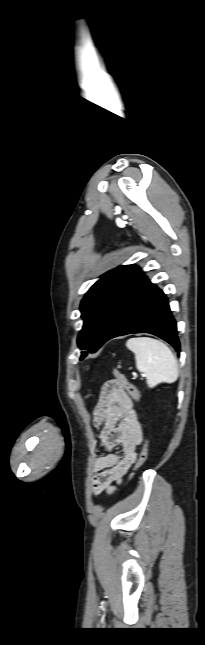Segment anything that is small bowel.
Segmentation results:
<instances>
[{"label":"small bowel","mask_w":205,"mask_h":645,"mask_svg":"<svg viewBox=\"0 0 205 645\" xmlns=\"http://www.w3.org/2000/svg\"><path fill=\"white\" fill-rule=\"evenodd\" d=\"M93 421L102 430L98 437L90 439L92 468L96 473L92 488L95 495L104 492L110 495L136 459L143 433L132 400L125 391L110 390L107 382L101 389ZM98 440L109 454L95 452ZM118 449L120 452H116Z\"/></svg>","instance_id":"1"}]
</instances>
